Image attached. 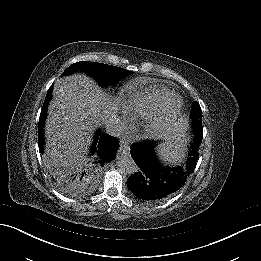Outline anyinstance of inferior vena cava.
<instances>
[{"mask_svg": "<svg viewBox=\"0 0 261 261\" xmlns=\"http://www.w3.org/2000/svg\"><path fill=\"white\" fill-rule=\"evenodd\" d=\"M104 127L106 133L114 137L122 136L125 130L124 123L116 118V116L107 119L104 122Z\"/></svg>", "mask_w": 261, "mask_h": 261, "instance_id": "1", "label": "inferior vena cava"}]
</instances>
